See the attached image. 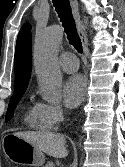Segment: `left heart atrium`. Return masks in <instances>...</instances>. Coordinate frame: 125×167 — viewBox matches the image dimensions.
Masks as SVG:
<instances>
[{"mask_svg": "<svg viewBox=\"0 0 125 167\" xmlns=\"http://www.w3.org/2000/svg\"><path fill=\"white\" fill-rule=\"evenodd\" d=\"M86 91V81L81 75L69 76L63 84L64 103L69 108L77 107L83 100Z\"/></svg>", "mask_w": 125, "mask_h": 167, "instance_id": "obj_1", "label": "left heart atrium"}]
</instances>
